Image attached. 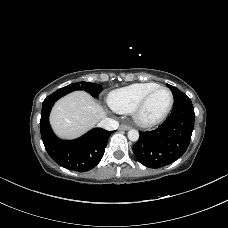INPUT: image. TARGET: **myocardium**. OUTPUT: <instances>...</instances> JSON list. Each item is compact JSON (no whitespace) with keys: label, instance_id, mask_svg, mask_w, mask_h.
<instances>
[{"label":"myocardium","instance_id":"myocardium-1","mask_svg":"<svg viewBox=\"0 0 228 228\" xmlns=\"http://www.w3.org/2000/svg\"><path fill=\"white\" fill-rule=\"evenodd\" d=\"M158 90H166L169 95H170V103L166 109V111L158 118L154 119V120H144L142 118V111L146 105V103L148 102V100L150 99V97ZM174 105V96L172 91L166 87V86H157L154 89L150 90L139 102L138 104L135 106V108L132 111V116H133V120L134 122L142 128H151L154 127L158 124H160L161 122H163L168 115L170 114L172 108Z\"/></svg>","mask_w":228,"mask_h":228}]
</instances>
